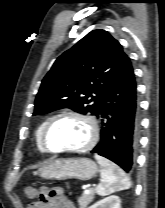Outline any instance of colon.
I'll return each instance as SVG.
<instances>
[{"instance_id": "obj_1", "label": "colon", "mask_w": 165, "mask_h": 208, "mask_svg": "<svg viewBox=\"0 0 165 208\" xmlns=\"http://www.w3.org/2000/svg\"><path fill=\"white\" fill-rule=\"evenodd\" d=\"M25 194H26V198L31 202L33 203L34 200L37 198L38 196V192L35 188L33 187H27L25 189Z\"/></svg>"}]
</instances>
